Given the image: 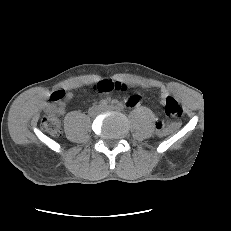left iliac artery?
<instances>
[{
	"label": "left iliac artery",
	"instance_id": "left-iliac-artery-1",
	"mask_svg": "<svg viewBox=\"0 0 231 231\" xmlns=\"http://www.w3.org/2000/svg\"><path fill=\"white\" fill-rule=\"evenodd\" d=\"M125 106L122 104V103H117L116 104V109L119 110V111H122L124 110Z\"/></svg>",
	"mask_w": 231,
	"mask_h": 231
}]
</instances>
